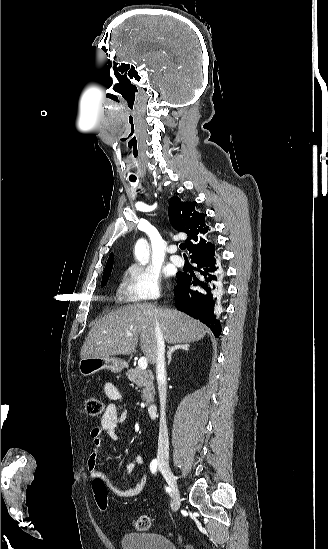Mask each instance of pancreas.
<instances>
[{
  "label": "pancreas",
  "instance_id": "obj_1",
  "mask_svg": "<svg viewBox=\"0 0 328 549\" xmlns=\"http://www.w3.org/2000/svg\"><path fill=\"white\" fill-rule=\"evenodd\" d=\"M126 377H128L129 381L138 385V387H144L142 399L145 401L146 405H150L154 399L155 393L154 375H152L151 371H144V369L135 367V369H129V371H127Z\"/></svg>",
  "mask_w": 328,
  "mask_h": 549
}]
</instances>
